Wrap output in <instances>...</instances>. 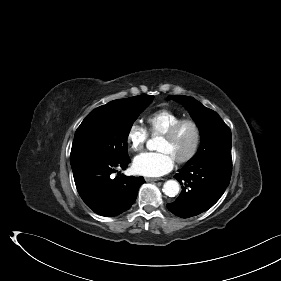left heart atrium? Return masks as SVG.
<instances>
[{
	"label": "left heart atrium",
	"instance_id": "39dd6f15",
	"mask_svg": "<svg viewBox=\"0 0 281 281\" xmlns=\"http://www.w3.org/2000/svg\"><path fill=\"white\" fill-rule=\"evenodd\" d=\"M174 162L167 151L144 152L135 157L133 169L139 175L159 177L171 171Z\"/></svg>",
	"mask_w": 281,
	"mask_h": 281
}]
</instances>
